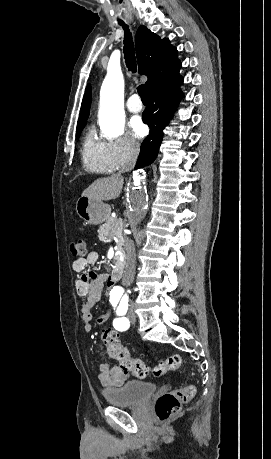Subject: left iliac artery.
Segmentation results:
<instances>
[{
	"label": "left iliac artery",
	"mask_w": 271,
	"mask_h": 459,
	"mask_svg": "<svg viewBox=\"0 0 271 459\" xmlns=\"http://www.w3.org/2000/svg\"><path fill=\"white\" fill-rule=\"evenodd\" d=\"M116 306V304H114ZM128 309V303L125 306L115 307L114 314L115 316H125ZM113 326L118 331H125L129 328L130 322L126 317L114 319Z\"/></svg>",
	"instance_id": "obj_1"
}]
</instances>
